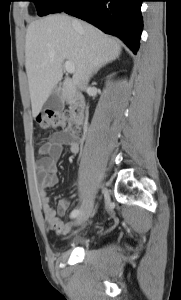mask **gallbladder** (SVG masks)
<instances>
[{
    "label": "gallbladder",
    "instance_id": "gallbladder-1",
    "mask_svg": "<svg viewBox=\"0 0 181 300\" xmlns=\"http://www.w3.org/2000/svg\"><path fill=\"white\" fill-rule=\"evenodd\" d=\"M62 83H59L52 94L48 97L46 102L43 105L44 110H53L59 112L63 109V100H62Z\"/></svg>",
    "mask_w": 181,
    "mask_h": 300
}]
</instances>
